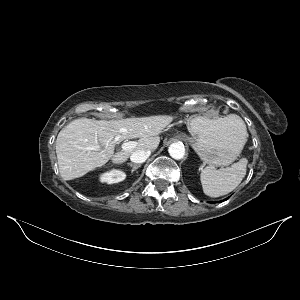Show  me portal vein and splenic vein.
I'll list each match as a JSON object with an SVG mask.
<instances>
[{
    "label": "portal vein and splenic vein",
    "mask_w": 300,
    "mask_h": 300,
    "mask_svg": "<svg viewBox=\"0 0 300 300\" xmlns=\"http://www.w3.org/2000/svg\"><path fill=\"white\" fill-rule=\"evenodd\" d=\"M136 142L134 141H129V142H124L122 145H121V148L123 151H130L132 149H134L136 147Z\"/></svg>",
    "instance_id": "portal-vein-and-splenic-vein-1"
}]
</instances>
